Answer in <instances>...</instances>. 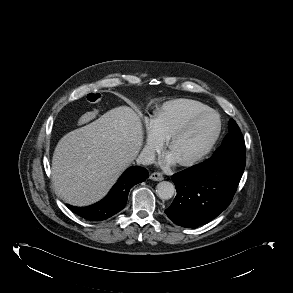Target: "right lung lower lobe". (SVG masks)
<instances>
[{
	"label": "right lung lower lobe",
	"instance_id": "right-lung-lower-lobe-1",
	"mask_svg": "<svg viewBox=\"0 0 293 293\" xmlns=\"http://www.w3.org/2000/svg\"><path fill=\"white\" fill-rule=\"evenodd\" d=\"M148 176V171L145 168L131 167L122 174L108 195L98 203L87 207L68 205V208L75 214L90 221L105 220L125 207L130 188L145 181Z\"/></svg>",
	"mask_w": 293,
	"mask_h": 293
}]
</instances>
